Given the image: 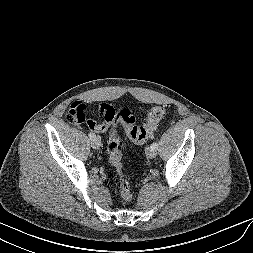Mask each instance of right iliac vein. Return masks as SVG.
Segmentation results:
<instances>
[{
	"mask_svg": "<svg viewBox=\"0 0 253 253\" xmlns=\"http://www.w3.org/2000/svg\"><path fill=\"white\" fill-rule=\"evenodd\" d=\"M91 146L94 149H99L101 146V140L98 136H95L92 140H91Z\"/></svg>",
	"mask_w": 253,
	"mask_h": 253,
	"instance_id": "right-iliac-vein-1",
	"label": "right iliac vein"
}]
</instances>
